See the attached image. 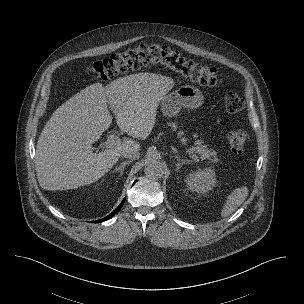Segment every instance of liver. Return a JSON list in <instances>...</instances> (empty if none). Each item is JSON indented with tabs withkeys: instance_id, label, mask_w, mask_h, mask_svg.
<instances>
[{
	"instance_id": "liver-1",
	"label": "liver",
	"mask_w": 304,
	"mask_h": 304,
	"mask_svg": "<svg viewBox=\"0 0 304 304\" xmlns=\"http://www.w3.org/2000/svg\"><path fill=\"white\" fill-rule=\"evenodd\" d=\"M170 77L138 73L120 77L108 85L92 84L57 108L44 126L36 147L35 166L40 187L67 190L91 184L104 176L121 153L140 149L133 139L93 152L112 122L108 104L121 130L146 139L156 121L162 98L174 87Z\"/></svg>"
}]
</instances>
